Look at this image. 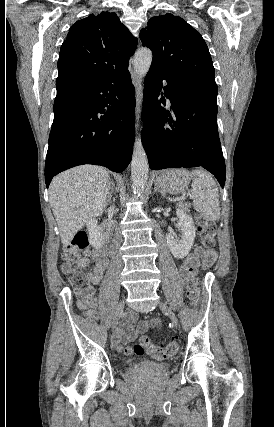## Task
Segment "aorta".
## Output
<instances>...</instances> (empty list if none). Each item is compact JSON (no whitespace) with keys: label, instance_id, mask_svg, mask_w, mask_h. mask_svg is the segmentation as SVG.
<instances>
[{"label":"aorta","instance_id":"1","mask_svg":"<svg viewBox=\"0 0 274 427\" xmlns=\"http://www.w3.org/2000/svg\"><path fill=\"white\" fill-rule=\"evenodd\" d=\"M152 52L148 48L139 49L134 56L133 66L139 77H145L148 73L151 62ZM148 159L143 148L141 140H136L133 148L131 161V179L132 190L134 194L140 195L147 185L148 179Z\"/></svg>","mask_w":274,"mask_h":427}]
</instances>
